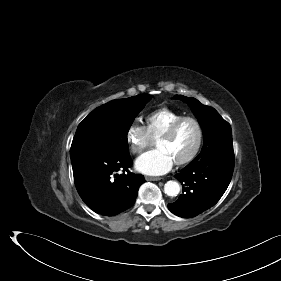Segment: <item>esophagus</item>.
Wrapping results in <instances>:
<instances>
[{"label":"esophagus","instance_id":"esophagus-1","mask_svg":"<svg viewBox=\"0 0 281 281\" xmlns=\"http://www.w3.org/2000/svg\"><path fill=\"white\" fill-rule=\"evenodd\" d=\"M162 178H160V177H150V176H147L146 177V180L147 181H159V180H161Z\"/></svg>","mask_w":281,"mask_h":281}]
</instances>
